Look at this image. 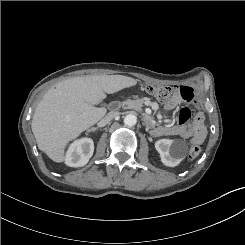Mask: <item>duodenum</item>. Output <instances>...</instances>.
Instances as JSON below:
<instances>
[{"label": "duodenum", "mask_w": 245, "mask_h": 245, "mask_svg": "<svg viewBox=\"0 0 245 245\" xmlns=\"http://www.w3.org/2000/svg\"><path fill=\"white\" fill-rule=\"evenodd\" d=\"M118 106H119L118 102H112V103H110V105H109V109H110V110H116V109L118 108ZM144 120H145V123H146L147 125H151V124L153 123L152 118L149 117V116H146Z\"/></svg>", "instance_id": "1"}]
</instances>
